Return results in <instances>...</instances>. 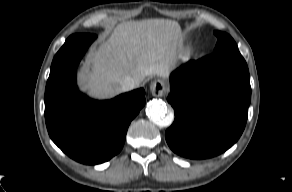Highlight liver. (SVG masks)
<instances>
[{"label":"liver","instance_id":"liver-1","mask_svg":"<svg viewBox=\"0 0 292 192\" xmlns=\"http://www.w3.org/2000/svg\"><path fill=\"white\" fill-rule=\"evenodd\" d=\"M183 49L177 21L145 19L118 24L98 49L89 53L90 66L82 68L83 88L98 98L113 97L123 90L129 76L136 87L148 76L167 77Z\"/></svg>","mask_w":292,"mask_h":192}]
</instances>
